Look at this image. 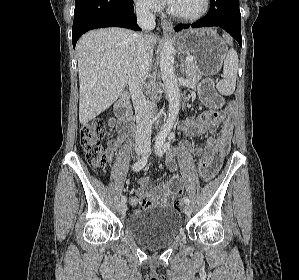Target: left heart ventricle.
I'll list each match as a JSON object with an SVG mask.
<instances>
[{
  "label": "left heart ventricle",
  "mask_w": 299,
  "mask_h": 280,
  "mask_svg": "<svg viewBox=\"0 0 299 280\" xmlns=\"http://www.w3.org/2000/svg\"><path fill=\"white\" fill-rule=\"evenodd\" d=\"M171 6L185 15H195L203 7V0H171Z\"/></svg>",
  "instance_id": "left-heart-ventricle-1"
}]
</instances>
